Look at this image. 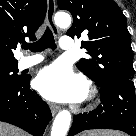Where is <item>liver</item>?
Returning a JSON list of instances; mask_svg holds the SVG:
<instances>
[{
  "label": "liver",
  "instance_id": "obj_1",
  "mask_svg": "<svg viewBox=\"0 0 136 136\" xmlns=\"http://www.w3.org/2000/svg\"><path fill=\"white\" fill-rule=\"evenodd\" d=\"M0 136H27L19 128L0 122Z\"/></svg>",
  "mask_w": 136,
  "mask_h": 136
}]
</instances>
